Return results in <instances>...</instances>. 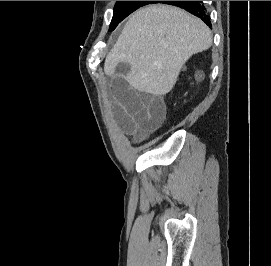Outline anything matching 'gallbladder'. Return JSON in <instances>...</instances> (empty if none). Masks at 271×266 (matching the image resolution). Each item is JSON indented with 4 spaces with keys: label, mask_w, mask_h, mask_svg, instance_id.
<instances>
[{
    "label": "gallbladder",
    "mask_w": 271,
    "mask_h": 266,
    "mask_svg": "<svg viewBox=\"0 0 271 266\" xmlns=\"http://www.w3.org/2000/svg\"><path fill=\"white\" fill-rule=\"evenodd\" d=\"M130 70V66L126 63H120L117 65L116 72L118 74H125Z\"/></svg>",
    "instance_id": "bac80fb5"
}]
</instances>
